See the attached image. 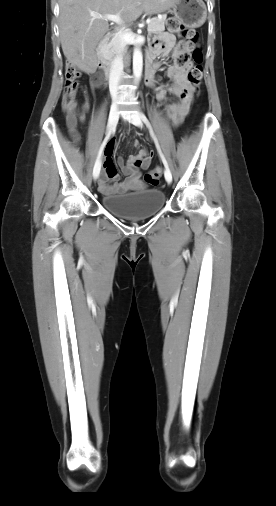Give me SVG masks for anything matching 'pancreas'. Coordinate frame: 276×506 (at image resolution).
Instances as JSON below:
<instances>
[{"mask_svg": "<svg viewBox=\"0 0 276 506\" xmlns=\"http://www.w3.org/2000/svg\"><path fill=\"white\" fill-rule=\"evenodd\" d=\"M164 23H165V16H163V18L161 19L152 18L150 23L148 24V32L158 33L164 31L165 29ZM116 51L117 47L114 46L113 42L109 43L107 47V54L112 57L116 53Z\"/></svg>", "mask_w": 276, "mask_h": 506, "instance_id": "obj_1", "label": "pancreas"}]
</instances>
